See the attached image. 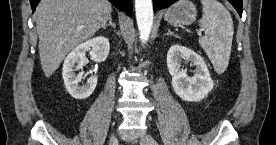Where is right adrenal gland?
<instances>
[{
    "label": "right adrenal gland",
    "mask_w": 276,
    "mask_h": 145,
    "mask_svg": "<svg viewBox=\"0 0 276 145\" xmlns=\"http://www.w3.org/2000/svg\"><path fill=\"white\" fill-rule=\"evenodd\" d=\"M108 26H112L114 29L116 28V25L112 21V17L109 18V23L104 25L102 29H106Z\"/></svg>",
    "instance_id": "1"
}]
</instances>
